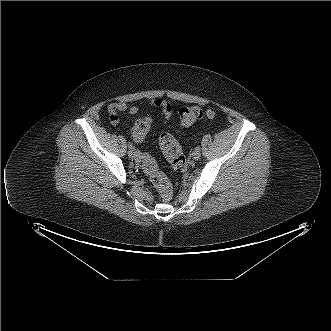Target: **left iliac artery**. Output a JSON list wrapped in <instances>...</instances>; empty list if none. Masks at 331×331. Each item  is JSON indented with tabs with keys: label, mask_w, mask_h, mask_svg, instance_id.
I'll use <instances>...</instances> for the list:
<instances>
[{
	"label": "left iliac artery",
	"mask_w": 331,
	"mask_h": 331,
	"mask_svg": "<svg viewBox=\"0 0 331 331\" xmlns=\"http://www.w3.org/2000/svg\"><path fill=\"white\" fill-rule=\"evenodd\" d=\"M200 146H197L196 148H195V150H197V151H200Z\"/></svg>",
	"instance_id": "left-iliac-artery-1"
}]
</instances>
